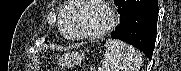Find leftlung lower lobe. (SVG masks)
Masks as SVG:
<instances>
[{
  "label": "left lung lower lobe",
  "mask_w": 181,
  "mask_h": 71,
  "mask_svg": "<svg viewBox=\"0 0 181 71\" xmlns=\"http://www.w3.org/2000/svg\"><path fill=\"white\" fill-rule=\"evenodd\" d=\"M120 24L111 37L130 43L151 60L157 33L158 0H119Z\"/></svg>",
  "instance_id": "0a47b994"
}]
</instances>
